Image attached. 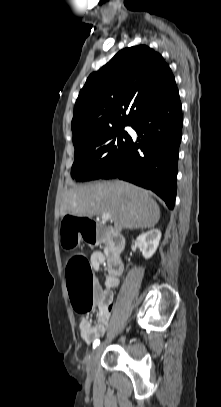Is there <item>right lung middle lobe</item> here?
Listing matches in <instances>:
<instances>
[{"instance_id": "right-lung-middle-lobe-1", "label": "right lung middle lobe", "mask_w": 221, "mask_h": 407, "mask_svg": "<svg viewBox=\"0 0 221 407\" xmlns=\"http://www.w3.org/2000/svg\"><path fill=\"white\" fill-rule=\"evenodd\" d=\"M125 126L111 128L75 143L72 178L77 181L99 179L116 164L132 141L124 131Z\"/></svg>"}]
</instances>
